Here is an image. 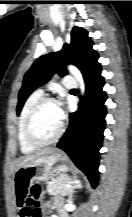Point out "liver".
Wrapping results in <instances>:
<instances>
[{"mask_svg":"<svg viewBox=\"0 0 132 217\" xmlns=\"http://www.w3.org/2000/svg\"><path fill=\"white\" fill-rule=\"evenodd\" d=\"M56 151H59V150L55 149V148H46L44 150L36 152L35 154L29 155V156H24L17 161V165H16L17 169L24 166L25 164H27L30 161H33V160H35L41 156H44V155H50Z\"/></svg>","mask_w":132,"mask_h":217,"instance_id":"6515ba94","label":"liver"}]
</instances>
